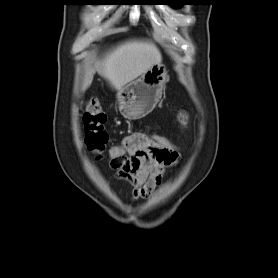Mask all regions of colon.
Returning <instances> with one entry per match:
<instances>
[{
  "label": "colon",
  "mask_w": 278,
  "mask_h": 278,
  "mask_svg": "<svg viewBox=\"0 0 278 278\" xmlns=\"http://www.w3.org/2000/svg\"><path fill=\"white\" fill-rule=\"evenodd\" d=\"M82 120L84 123L88 149L97 155H101L108 143V134L104 128L106 115L97 100L90 99L86 103L85 109L82 113ZM180 122L183 125H186L187 115L185 113L180 114ZM151 137L162 147L163 150L172 154L180 155V147L173 140L158 134H154ZM123 154L124 149L122 145L113 146L108 151L110 159L120 158Z\"/></svg>",
  "instance_id": "1"
}]
</instances>
